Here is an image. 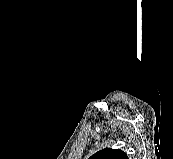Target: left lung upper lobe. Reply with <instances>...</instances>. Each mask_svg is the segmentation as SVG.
Returning <instances> with one entry per match:
<instances>
[{"label":"left lung upper lobe","instance_id":"obj_1","mask_svg":"<svg viewBox=\"0 0 173 159\" xmlns=\"http://www.w3.org/2000/svg\"><path fill=\"white\" fill-rule=\"evenodd\" d=\"M89 159H128L126 153L119 149L106 148L98 151Z\"/></svg>","mask_w":173,"mask_h":159}]
</instances>
